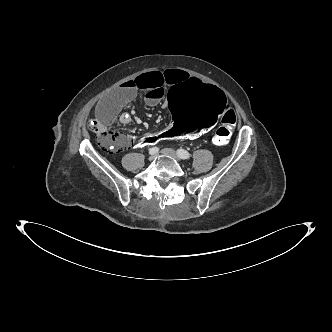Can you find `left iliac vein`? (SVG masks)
I'll use <instances>...</instances> for the list:
<instances>
[{
	"mask_svg": "<svg viewBox=\"0 0 332 332\" xmlns=\"http://www.w3.org/2000/svg\"><path fill=\"white\" fill-rule=\"evenodd\" d=\"M161 154L165 155V156H170L174 159H176L177 161L180 160V157L178 156L177 152L173 149L170 148H164L161 150Z\"/></svg>",
	"mask_w": 332,
	"mask_h": 332,
	"instance_id": "4c4485c4",
	"label": "left iliac vein"
}]
</instances>
